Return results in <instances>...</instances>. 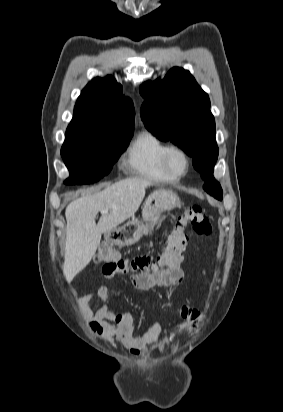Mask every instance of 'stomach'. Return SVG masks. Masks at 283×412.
Masks as SVG:
<instances>
[{
	"label": "stomach",
	"instance_id": "1",
	"mask_svg": "<svg viewBox=\"0 0 283 412\" xmlns=\"http://www.w3.org/2000/svg\"><path fill=\"white\" fill-rule=\"evenodd\" d=\"M180 206L179 197L168 189L154 191L145 200L142 210L143 222L156 224L161 215ZM143 222L131 221L127 225L109 233L107 239L117 246H130L140 240L144 228Z\"/></svg>",
	"mask_w": 283,
	"mask_h": 412
}]
</instances>
